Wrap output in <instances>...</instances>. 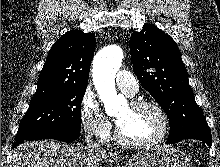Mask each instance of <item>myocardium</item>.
Here are the masks:
<instances>
[{"mask_svg": "<svg viewBox=\"0 0 220 167\" xmlns=\"http://www.w3.org/2000/svg\"><path fill=\"white\" fill-rule=\"evenodd\" d=\"M130 107L132 108H145L149 107L154 109L161 118V130L155 137L143 141H133L127 139L123 133L121 132L119 125L115 131V139L116 141L125 147L129 148H145L152 147L160 144L167 137L169 129H170V121L165 109L156 101L153 100H134L130 102Z\"/></svg>", "mask_w": 220, "mask_h": 167, "instance_id": "1", "label": "myocardium"}]
</instances>
